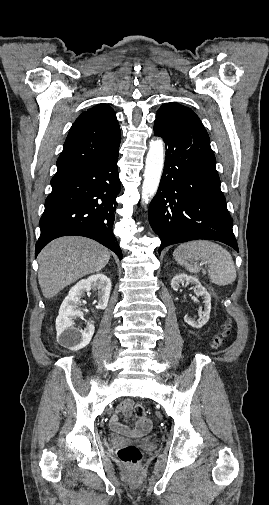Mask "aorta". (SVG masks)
Wrapping results in <instances>:
<instances>
[{"mask_svg":"<svg viewBox=\"0 0 269 505\" xmlns=\"http://www.w3.org/2000/svg\"><path fill=\"white\" fill-rule=\"evenodd\" d=\"M164 166V143L162 139L152 140L147 153L141 202L147 204L159 187Z\"/></svg>","mask_w":269,"mask_h":505,"instance_id":"1","label":"aorta"}]
</instances>
